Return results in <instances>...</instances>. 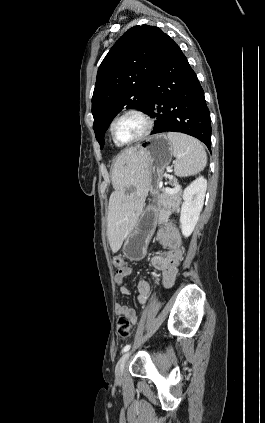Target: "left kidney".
<instances>
[{
    "instance_id": "5707ae66",
    "label": "left kidney",
    "mask_w": 265,
    "mask_h": 423,
    "mask_svg": "<svg viewBox=\"0 0 265 423\" xmlns=\"http://www.w3.org/2000/svg\"><path fill=\"white\" fill-rule=\"evenodd\" d=\"M207 180L200 176L183 191V204L180 212V228L184 237L193 232L203 208Z\"/></svg>"
}]
</instances>
